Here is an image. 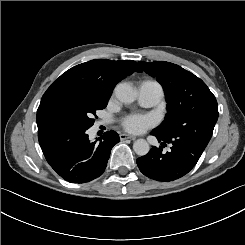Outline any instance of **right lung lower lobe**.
I'll return each instance as SVG.
<instances>
[{
    "mask_svg": "<svg viewBox=\"0 0 245 245\" xmlns=\"http://www.w3.org/2000/svg\"><path fill=\"white\" fill-rule=\"evenodd\" d=\"M86 130L65 127L38 131L39 144L47 162L70 183H86L101 176L112 147L120 141L118 134L111 130L90 142Z\"/></svg>",
    "mask_w": 245,
    "mask_h": 245,
    "instance_id": "1",
    "label": "right lung lower lobe"
}]
</instances>
